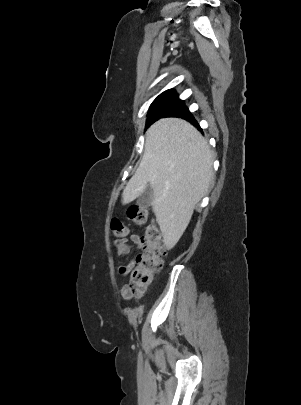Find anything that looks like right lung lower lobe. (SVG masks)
<instances>
[{"label":"right lung lower lobe","instance_id":"98d812e1","mask_svg":"<svg viewBox=\"0 0 301 405\" xmlns=\"http://www.w3.org/2000/svg\"><path fill=\"white\" fill-rule=\"evenodd\" d=\"M175 117H181L184 118L188 121H190L193 125H195L198 129L201 130V128L199 127L198 123L195 121V119L192 117L190 112H187L185 114L179 115V116H175Z\"/></svg>","mask_w":301,"mask_h":405}]
</instances>
